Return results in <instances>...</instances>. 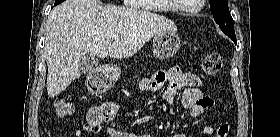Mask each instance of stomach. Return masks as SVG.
I'll list each match as a JSON object with an SVG mask.
<instances>
[{
  "label": "stomach",
  "mask_w": 280,
  "mask_h": 137,
  "mask_svg": "<svg viewBox=\"0 0 280 137\" xmlns=\"http://www.w3.org/2000/svg\"><path fill=\"white\" fill-rule=\"evenodd\" d=\"M181 46L180 37L172 31H164L154 36L153 39V56L159 59H168L175 55ZM121 70L116 65L108 66L104 76V86L100 87L99 83L87 82V87L91 92H102L110 88L120 77Z\"/></svg>",
  "instance_id": "obj_1"
}]
</instances>
